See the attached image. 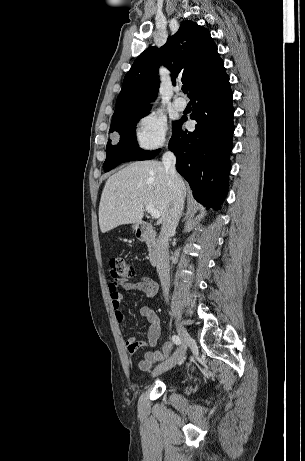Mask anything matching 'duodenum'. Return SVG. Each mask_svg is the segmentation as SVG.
Returning a JSON list of instances; mask_svg holds the SVG:
<instances>
[{
	"label": "duodenum",
	"instance_id": "410a0bca",
	"mask_svg": "<svg viewBox=\"0 0 305 461\" xmlns=\"http://www.w3.org/2000/svg\"><path fill=\"white\" fill-rule=\"evenodd\" d=\"M137 237L149 247V264L151 266L157 265L159 263L158 240L152 226L147 222L140 223L137 226Z\"/></svg>",
	"mask_w": 305,
	"mask_h": 461
}]
</instances>
